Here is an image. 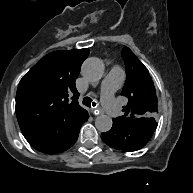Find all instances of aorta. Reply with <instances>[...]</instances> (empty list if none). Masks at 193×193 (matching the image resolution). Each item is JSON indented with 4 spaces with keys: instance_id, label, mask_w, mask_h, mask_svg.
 <instances>
[{
    "instance_id": "1",
    "label": "aorta",
    "mask_w": 193,
    "mask_h": 193,
    "mask_svg": "<svg viewBox=\"0 0 193 193\" xmlns=\"http://www.w3.org/2000/svg\"><path fill=\"white\" fill-rule=\"evenodd\" d=\"M82 74L90 81H98L104 74V64L98 58L87 59L82 66ZM113 121L108 115L102 114L95 119V127L99 132H107L112 128Z\"/></svg>"
}]
</instances>
